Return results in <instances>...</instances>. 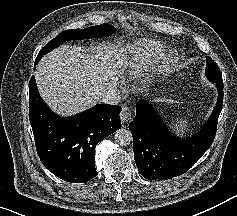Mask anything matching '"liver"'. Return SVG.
<instances>
[{
    "label": "liver",
    "instance_id": "1",
    "mask_svg": "<svg viewBox=\"0 0 237 216\" xmlns=\"http://www.w3.org/2000/svg\"><path fill=\"white\" fill-rule=\"evenodd\" d=\"M105 46L96 50L62 46L36 70L42 97L57 111L71 114L99 102L100 92L115 86L125 69L113 64Z\"/></svg>",
    "mask_w": 237,
    "mask_h": 216
}]
</instances>
